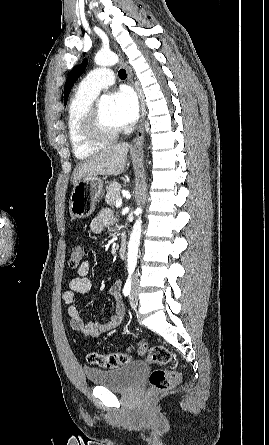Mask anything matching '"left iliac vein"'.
<instances>
[{
    "mask_svg": "<svg viewBox=\"0 0 269 445\" xmlns=\"http://www.w3.org/2000/svg\"><path fill=\"white\" fill-rule=\"evenodd\" d=\"M129 302L132 308H136L138 305V297H137V291L136 288H134L131 292V295L129 297Z\"/></svg>",
    "mask_w": 269,
    "mask_h": 445,
    "instance_id": "1",
    "label": "left iliac vein"
}]
</instances>
